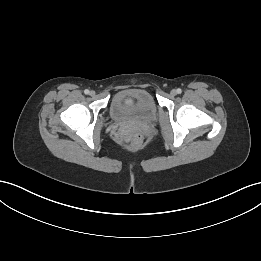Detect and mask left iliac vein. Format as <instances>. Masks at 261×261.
<instances>
[{"label": "left iliac vein", "instance_id": "obj_1", "mask_svg": "<svg viewBox=\"0 0 261 261\" xmlns=\"http://www.w3.org/2000/svg\"><path fill=\"white\" fill-rule=\"evenodd\" d=\"M170 94H171L172 96H175V95L177 94V91L173 89V90H171Z\"/></svg>", "mask_w": 261, "mask_h": 261}]
</instances>
